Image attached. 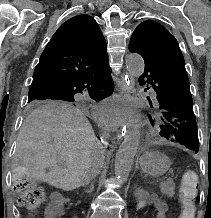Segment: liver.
I'll use <instances>...</instances> for the list:
<instances>
[{
	"instance_id": "obj_1",
	"label": "liver",
	"mask_w": 211,
	"mask_h": 218,
	"mask_svg": "<svg viewBox=\"0 0 211 218\" xmlns=\"http://www.w3.org/2000/svg\"><path fill=\"white\" fill-rule=\"evenodd\" d=\"M17 152L31 178L60 190L79 188L100 160L90 122L81 110L68 104L33 110L20 128Z\"/></svg>"
}]
</instances>
